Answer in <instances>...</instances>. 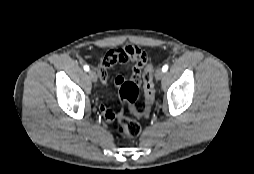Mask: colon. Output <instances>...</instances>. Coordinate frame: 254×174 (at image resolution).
Instances as JSON below:
<instances>
[{"instance_id": "1", "label": "colon", "mask_w": 254, "mask_h": 174, "mask_svg": "<svg viewBox=\"0 0 254 174\" xmlns=\"http://www.w3.org/2000/svg\"><path fill=\"white\" fill-rule=\"evenodd\" d=\"M153 71L154 66L147 64L143 74L145 108L142 113L137 112L135 105L139 94L138 84L133 81H128L120 86L119 96L121 102L128 104L130 111L138 116H148L151 111L155 95ZM114 119L116 121V130L121 137L133 139L139 136L141 128L135 120L128 118L121 112L114 115Z\"/></svg>"}]
</instances>
